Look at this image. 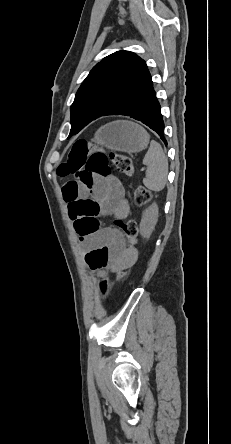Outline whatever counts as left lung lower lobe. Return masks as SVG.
Returning a JSON list of instances; mask_svg holds the SVG:
<instances>
[{"label":"left lung lower lobe","instance_id":"1","mask_svg":"<svg viewBox=\"0 0 231 444\" xmlns=\"http://www.w3.org/2000/svg\"><path fill=\"white\" fill-rule=\"evenodd\" d=\"M115 115L130 116L141 121L154 130L167 145L164 138V122L161 115L160 104L153 89L151 75L137 89L135 94L124 102Z\"/></svg>","mask_w":231,"mask_h":444}]
</instances>
